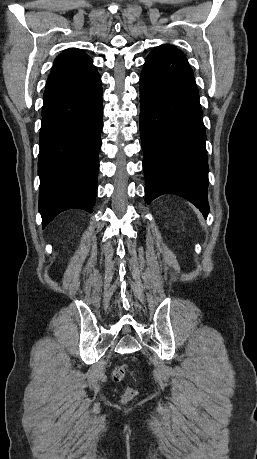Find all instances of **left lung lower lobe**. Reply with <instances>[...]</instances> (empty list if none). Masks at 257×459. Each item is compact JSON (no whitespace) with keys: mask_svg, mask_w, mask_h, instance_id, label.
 <instances>
[{"mask_svg":"<svg viewBox=\"0 0 257 459\" xmlns=\"http://www.w3.org/2000/svg\"><path fill=\"white\" fill-rule=\"evenodd\" d=\"M140 133L146 202L173 193L205 217L206 133L193 71L181 51L154 49L140 76Z\"/></svg>","mask_w":257,"mask_h":459,"instance_id":"left-lung-lower-lobe-1","label":"left lung lower lobe"}]
</instances>
